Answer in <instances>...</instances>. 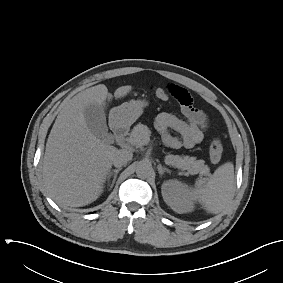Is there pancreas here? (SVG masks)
I'll return each mask as SVG.
<instances>
[{
    "label": "pancreas",
    "mask_w": 283,
    "mask_h": 283,
    "mask_svg": "<svg viewBox=\"0 0 283 283\" xmlns=\"http://www.w3.org/2000/svg\"><path fill=\"white\" fill-rule=\"evenodd\" d=\"M151 131L146 125L139 123L136 125L130 133V136L126 138L129 145L141 148L143 144L140 141L150 136ZM165 162L168 165L176 167L181 170L188 171L191 175L199 174L201 176H207L210 173L209 167L205 164L204 160H197L196 157L179 156V155H167Z\"/></svg>",
    "instance_id": "pancreas-1"
}]
</instances>
